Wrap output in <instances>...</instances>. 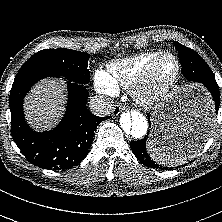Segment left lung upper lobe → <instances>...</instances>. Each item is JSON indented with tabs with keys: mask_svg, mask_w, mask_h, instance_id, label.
Here are the masks:
<instances>
[{
	"mask_svg": "<svg viewBox=\"0 0 222 222\" xmlns=\"http://www.w3.org/2000/svg\"><path fill=\"white\" fill-rule=\"evenodd\" d=\"M174 44L176 46V49L179 52V59L185 58V57H191L192 59L196 60L209 73V76H212L211 79L215 80V77H214L211 69L206 64V62L203 60V58L200 55H198V53H196L194 50H192V49H190L178 42H175Z\"/></svg>",
	"mask_w": 222,
	"mask_h": 222,
	"instance_id": "obj_1",
	"label": "left lung upper lobe"
}]
</instances>
